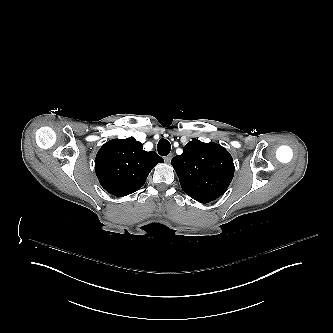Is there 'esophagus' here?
<instances>
[{"label":"esophagus","mask_w":333,"mask_h":333,"mask_svg":"<svg viewBox=\"0 0 333 333\" xmlns=\"http://www.w3.org/2000/svg\"><path fill=\"white\" fill-rule=\"evenodd\" d=\"M171 159H172V154H169V155H167V156L164 157V160H165L167 163H169V162L171 161Z\"/></svg>","instance_id":"1"}]
</instances>
